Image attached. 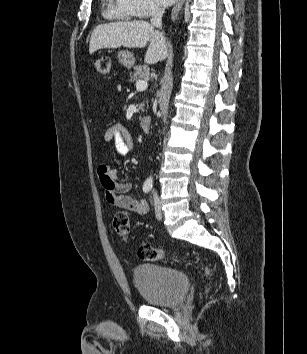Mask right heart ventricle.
Listing matches in <instances>:
<instances>
[{"mask_svg": "<svg viewBox=\"0 0 307 354\" xmlns=\"http://www.w3.org/2000/svg\"><path fill=\"white\" fill-rule=\"evenodd\" d=\"M103 15L107 19L130 20L136 15L129 0H104Z\"/></svg>", "mask_w": 307, "mask_h": 354, "instance_id": "e07e8e85", "label": "right heart ventricle"}]
</instances>
